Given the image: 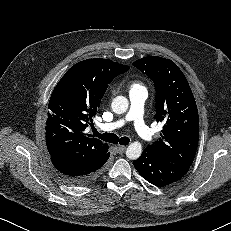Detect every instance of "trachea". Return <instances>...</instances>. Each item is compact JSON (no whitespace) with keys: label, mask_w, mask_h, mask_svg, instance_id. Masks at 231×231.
I'll return each instance as SVG.
<instances>
[{"label":"trachea","mask_w":231,"mask_h":231,"mask_svg":"<svg viewBox=\"0 0 231 231\" xmlns=\"http://www.w3.org/2000/svg\"><path fill=\"white\" fill-rule=\"evenodd\" d=\"M94 136L113 144H121V145H128L130 139L128 137H121L119 138L116 134L113 133H99L96 129H93Z\"/></svg>","instance_id":"trachea-1"}]
</instances>
